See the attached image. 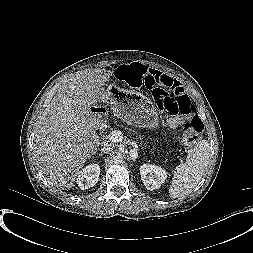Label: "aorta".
Here are the masks:
<instances>
[{
  "mask_svg": "<svg viewBox=\"0 0 253 253\" xmlns=\"http://www.w3.org/2000/svg\"><path fill=\"white\" fill-rule=\"evenodd\" d=\"M114 162L119 164V163H122L123 162V156L118 154L114 157Z\"/></svg>",
  "mask_w": 253,
  "mask_h": 253,
  "instance_id": "1",
  "label": "aorta"
}]
</instances>
